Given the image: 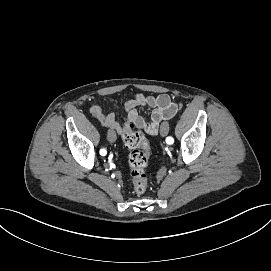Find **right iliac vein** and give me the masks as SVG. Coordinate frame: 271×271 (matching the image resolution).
Wrapping results in <instances>:
<instances>
[{"mask_svg": "<svg viewBox=\"0 0 271 271\" xmlns=\"http://www.w3.org/2000/svg\"><path fill=\"white\" fill-rule=\"evenodd\" d=\"M107 138H108V140H109L110 142H115V141H116V138H117L115 131H113V130H108Z\"/></svg>", "mask_w": 271, "mask_h": 271, "instance_id": "1", "label": "right iliac vein"}]
</instances>
